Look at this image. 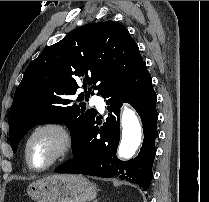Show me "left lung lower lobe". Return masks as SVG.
<instances>
[{"label": "left lung lower lobe", "instance_id": "1", "mask_svg": "<svg viewBox=\"0 0 209 202\" xmlns=\"http://www.w3.org/2000/svg\"><path fill=\"white\" fill-rule=\"evenodd\" d=\"M108 105V117L100 128L97 119L83 138L72 146L74 159L55 170L56 173H74L98 177H119L147 190L152 180V165L158 136L156 93L151 75L144 62L128 76L115 84L103 96ZM130 103L141 116L144 140L138 157L120 161L116 151L120 140V107Z\"/></svg>", "mask_w": 209, "mask_h": 202}]
</instances>
